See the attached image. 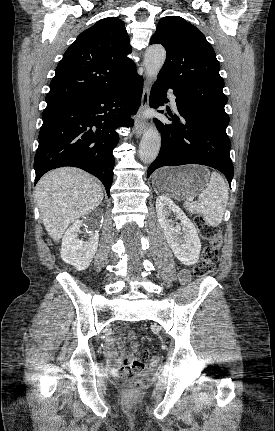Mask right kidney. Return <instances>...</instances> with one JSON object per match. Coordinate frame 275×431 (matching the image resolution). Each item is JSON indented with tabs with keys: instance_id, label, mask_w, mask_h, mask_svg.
<instances>
[{
	"instance_id": "ca27d5eb",
	"label": "right kidney",
	"mask_w": 275,
	"mask_h": 431,
	"mask_svg": "<svg viewBox=\"0 0 275 431\" xmlns=\"http://www.w3.org/2000/svg\"><path fill=\"white\" fill-rule=\"evenodd\" d=\"M84 225L83 220H76L65 232L62 239L61 258L75 267L77 270H85L89 267L98 247V230L91 232V237L84 242L79 240L78 231Z\"/></svg>"
}]
</instances>
